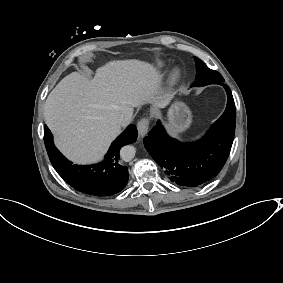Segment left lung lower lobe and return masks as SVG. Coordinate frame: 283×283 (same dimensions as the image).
Here are the masks:
<instances>
[{"label":"left lung lower lobe","mask_w":283,"mask_h":283,"mask_svg":"<svg viewBox=\"0 0 283 283\" xmlns=\"http://www.w3.org/2000/svg\"><path fill=\"white\" fill-rule=\"evenodd\" d=\"M228 96L223 115L207 134L192 143H180L169 137L160 121L143 142L155 162L170 181L180 186L197 187L214 178L224 166L233 143L236 110L230 88L222 84Z\"/></svg>","instance_id":"0a47b994"}]
</instances>
